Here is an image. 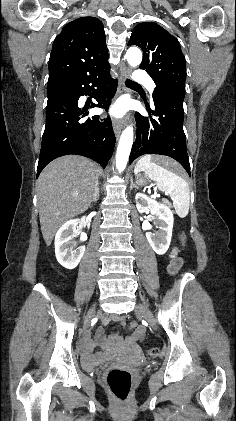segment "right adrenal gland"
I'll return each instance as SVG.
<instances>
[{"mask_svg": "<svg viewBox=\"0 0 236 421\" xmlns=\"http://www.w3.org/2000/svg\"><path fill=\"white\" fill-rule=\"evenodd\" d=\"M99 192H100L99 188H98V192H97V194H96V192H94V194H93V198H92L93 202H96V200H98V198H99V196H100Z\"/></svg>", "mask_w": 236, "mask_h": 421, "instance_id": "right-adrenal-gland-1", "label": "right adrenal gland"}]
</instances>
